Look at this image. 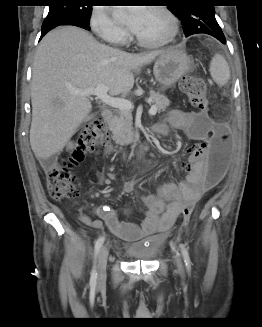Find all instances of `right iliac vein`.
<instances>
[{
	"label": "right iliac vein",
	"mask_w": 262,
	"mask_h": 327,
	"mask_svg": "<svg viewBox=\"0 0 262 327\" xmlns=\"http://www.w3.org/2000/svg\"><path fill=\"white\" fill-rule=\"evenodd\" d=\"M109 250L107 246H102L99 252L97 284L101 286L106 281V266Z\"/></svg>",
	"instance_id": "63e3f726"
}]
</instances>
